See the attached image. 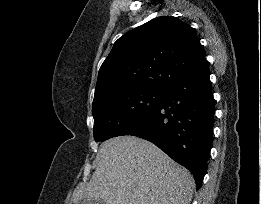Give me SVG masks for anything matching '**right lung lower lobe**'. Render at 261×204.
I'll return each instance as SVG.
<instances>
[{"mask_svg":"<svg viewBox=\"0 0 261 204\" xmlns=\"http://www.w3.org/2000/svg\"><path fill=\"white\" fill-rule=\"evenodd\" d=\"M207 61L163 91L159 103L122 135L146 139L190 170L201 187L210 155L215 102Z\"/></svg>","mask_w":261,"mask_h":204,"instance_id":"obj_1","label":"right lung lower lobe"}]
</instances>
